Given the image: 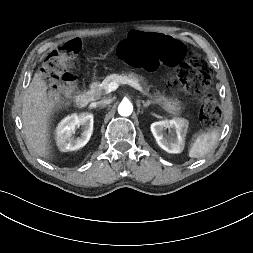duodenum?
I'll return each mask as SVG.
<instances>
[{
  "label": "duodenum",
  "mask_w": 253,
  "mask_h": 253,
  "mask_svg": "<svg viewBox=\"0 0 253 253\" xmlns=\"http://www.w3.org/2000/svg\"><path fill=\"white\" fill-rule=\"evenodd\" d=\"M96 90H97L96 83H92L86 92L76 96L75 105L78 108L86 107L89 103L94 101V99L96 98Z\"/></svg>",
  "instance_id": "obj_1"
}]
</instances>
